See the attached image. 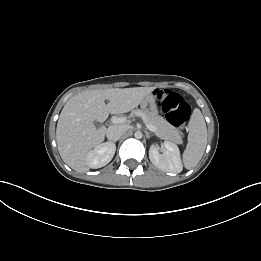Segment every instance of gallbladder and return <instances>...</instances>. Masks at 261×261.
I'll return each instance as SVG.
<instances>
[{
  "instance_id": "1",
  "label": "gallbladder",
  "mask_w": 261,
  "mask_h": 261,
  "mask_svg": "<svg viewBox=\"0 0 261 261\" xmlns=\"http://www.w3.org/2000/svg\"><path fill=\"white\" fill-rule=\"evenodd\" d=\"M94 124H95L96 127H100V123L99 122L95 121Z\"/></svg>"
}]
</instances>
